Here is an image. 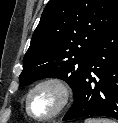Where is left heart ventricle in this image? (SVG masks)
<instances>
[{
    "instance_id": "1",
    "label": "left heart ventricle",
    "mask_w": 118,
    "mask_h": 123,
    "mask_svg": "<svg viewBox=\"0 0 118 123\" xmlns=\"http://www.w3.org/2000/svg\"><path fill=\"white\" fill-rule=\"evenodd\" d=\"M60 94L54 87H43L34 92L30 99V109L36 116H47L58 106Z\"/></svg>"
}]
</instances>
